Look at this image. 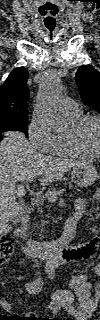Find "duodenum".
<instances>
[{"instance_id":"1","label":"duodenum","mask_w":100,"mask_h":320,"mask_svg":"<svg viewBox=\"0 0 100 320\" xmlns=\"http://www.w3.org/2000/svg\"><path fill=\"white\" fill-rule=\"evenodd\" d=\"M79 215L75 214L68 218L65 232L57 240L36 241L27 240L24 245V253L31 258L45 259L55 266L66 262L69 242L74 238ZM26 216H22L16 229V236H26Z\"/></svg>"}]
</instances>
